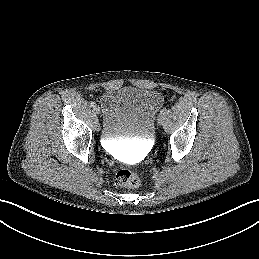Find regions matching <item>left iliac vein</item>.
<instances>
[{"instance_id":"left-iliac-vein-1","label":"left iliac vein","mask_w":259,"mask_h":259,"mask_svg":"<svg viewBox=\"0 0 259 259\" xmlns=\"http://www.w3.org/2000/svg\"><path fill=\"white\" fill-rule=\"evenodd\" d=\"M164 118H165L164 115H160L159 118H158V123H159V124H163Z\"/></svg>"}]
</instances>
